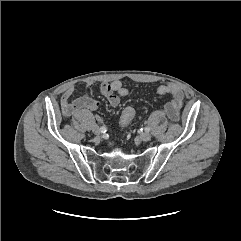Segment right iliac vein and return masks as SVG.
<instances>
[{"instance_id":"obj_1","label":"right iliac vein","mask_w":241,"mask_h":241,"mask_svg":"<svg viewBox=\"0 0 241 241\" xmlns=\"http://www.w3.org/2000/svg\"><path fill=\"white\" fill-rule=\"evenodd\" d=\"M93 133L96 134V135H99L101 134V129L98 127V126H94L93 129H92Z\"/></svg>"}]
</instances>
